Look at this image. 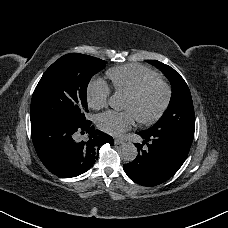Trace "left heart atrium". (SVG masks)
<instances>
[{
    "label": "left heart atrium",
    "mask_w": 228,
    "mask_h": 228,
    "mask_svg": "<svg viewBox=\"0 0 228 228\" xmlns=\"http://www.w3.org/2000/svg\"><path fill=\"white\" fill-rule=\"evenodd\" d=\"M134 115L131 111H109L99 117L101 128L109 134H119L131 127Z\"/></svg>",
    "instance_id": "1"
}]
</instances>
